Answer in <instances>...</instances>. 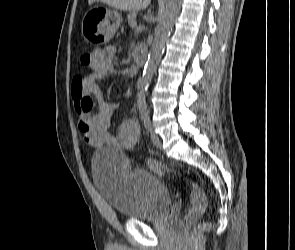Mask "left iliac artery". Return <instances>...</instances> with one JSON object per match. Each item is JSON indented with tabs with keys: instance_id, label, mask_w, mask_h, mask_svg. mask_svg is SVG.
<instances>
[{
	"instance_id": "1",
	"label": "left iliac artery",
	"mask_w": 295,
	"mask_h": 250,
	"mask_svg": "<svg viewBox=\"0 0 295 250\" xmlns=\"http://www.w3.org/2000/svg\"><path fill=\"white\" fill-rule=\"evenodd\" d=\"M140 114L145 128L148 129L150 127V116L146 105L140 107Z\"/></svg>"
}]
</instances>
